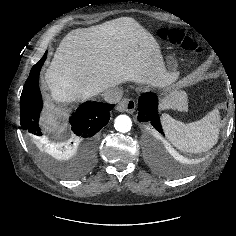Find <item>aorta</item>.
I'll use <instances>...</instances> for the list:
<instances>
[{
	"label": "aorta",
	"instance_id": "762f6f07",
	"mask_svg": "<svg viewBox=\"0 0 236 236\" xmlns=\"http://www.w3.org/2000/svg\"><path fill=\"white\" fill-rule=\"evenodd\" d=\"M114 127L118 132L126 133L131 130L132 121L127 115H119L115 119Z\"/></svg>",
	"mask_w": 236,
	"mask_h": 236
}]
</instances>
